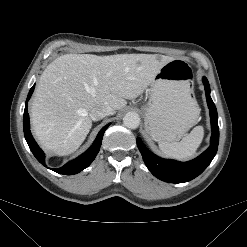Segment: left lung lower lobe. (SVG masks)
Masks as SVG:
<instances>
[{
  "label": "left lung lower lobe",
  "mask_w": 247,
  "mask_h": 247,
  "mask_svg": "<svg viewBox=\"0 0 247 247\" xmlns=\"http://www.w3.org/2000/svg\"><path fill=\"white\" fill-rule=\"evenodd\" d=\"M203 83L205 85L207 104L210 109L212 125L211 145L205 152L188 162L166 160L150 152L139 138L136 140L147 168L155 177L162 181L169 183L188 182L200 175L216 155L219 143L218 115L215 104L210 97L208 80L203 78Z\"/></svg>",
  "instance_id": "left-lung-lower-lobe-1"
}]
</instances>
